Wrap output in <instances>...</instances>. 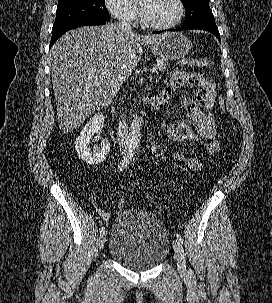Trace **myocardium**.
Here are the masks:
<instances>
[{
  "mask_svg": "<svg viewBox=\"0 0 272 303\" xmlns=\"http://www.w3.org/2000/svg\"><path fill=\"white\" fill-rule=\"evenodd\" d=\"M175 1L178 6V13L173 21H171L168 24H163V25L154 24L146 17L145 13L140 8V17H141L142 24L146 28H149L152 30H158V31H164V30H169V29L174 28L176 25H178L180 23V21L182 20V18L184 16V12H185V6H184L183 1L182 0H175Z\"/></svg>",
  "mask_w": 272,
  "mask_h": 303,
  "instance_id": "myocardium-1",
  "label": "myocardium"
}]
</instances>
